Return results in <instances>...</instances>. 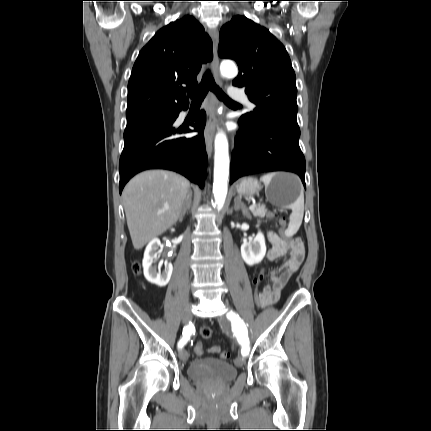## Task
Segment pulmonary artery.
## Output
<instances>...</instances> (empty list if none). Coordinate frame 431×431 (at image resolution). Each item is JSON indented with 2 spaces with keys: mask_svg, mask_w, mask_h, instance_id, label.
Wrapping results in <instances>:
<instances>
[{
  "mask_svg": "<svg viewBox=\"0 0 431 431\" xmlns=\"http://www.w3.org/2000/svg\"><path fill=\"white\" fill-rule=\"evenodd\" d=\"M228 93H229L230 98L233 101L242 102V103L247 104L251 108L253 107V104L248 101L246 95L244 94V92L241 89L232 86L228 89Z\"/></svg>",
  "mask_w": 431,
  "mask_h": 431,
  "instance_id": "1",
  "label": "pulmonary artery"
}]
</instances>
